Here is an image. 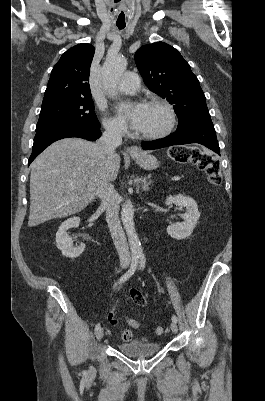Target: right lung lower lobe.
<instances>
[{
  "instance_id": "right-lung-lower-lobe-1",
  "label": "right lung lower lobe",
  "mask_w": 265,
  "mask_h": 401,
  "mask_svg": "<svg viewBox=\"0 0 265 401\" xmlns=\"http://www.w3.org/2000/svg\"><path fill=\"white\" fill-rule=\"evenodd\" d=\"M100 136L101 132L99 128L82 125H52L36 130L32 154L28 163L30 164L46 147L59 139L80 137L94 141Z\"/></svg>"
}]
</instances>
